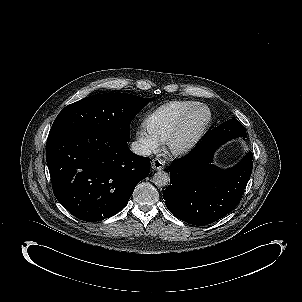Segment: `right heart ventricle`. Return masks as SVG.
<instances>
[{
  "mask_svg": "<svg viewBox=\"0 0 302 302\" xmlns=\"http://www.w3.org/2000/svg\"><path fill=\"white\" fill-rule=\"evenodd\" d=\"M195 105L197 104L192 101L168 102L147 117L145 126L151 134L162 140L176 125L181 116Z\"/></svg>",
  "mask_w": 302,
  "mask_h": 302,
  "instance_id": "e07e8e85",
  "label": "right heart ventricle"
}]
</instances>
